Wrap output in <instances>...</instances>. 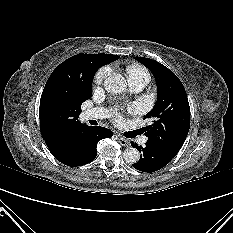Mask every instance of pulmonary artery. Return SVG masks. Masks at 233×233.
<instances>
[{
  "mask_svg": "<svg viewBox=\"0 0 233 233\" xmlns=\"http://www.w3.org/2000/svg\"><path fill=\"white\" fill-rule=\"evenodd\" d=\"M129 86L131 91L133 92H139L141 91L144 86L146 85V82L143 80H133L129 79ZM106 116V112L99 108H92L84 111L82 117L84 120H91V119H101ZM147 141L146 137H143L141 139V143H145Z\"/></svg>",
  "mask_w": 233,
  "mask_h": 233,
  "instance_id": "obj_1",
  "label": "pulmonary artery"
}]
</instances>
